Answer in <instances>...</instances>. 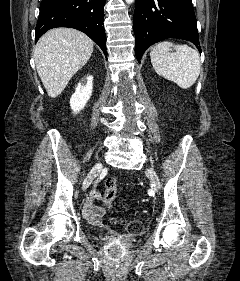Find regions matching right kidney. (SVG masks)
<instances>
[{
  "label": "right kidney",
  "mask_w": 240,
  "mask_h": 281,
  "mask_svg": "<svg viewBox=\"0 0 240 281\" xmlns=\"http://www.w3.org/2000/svg\"><path fill=\"white\" fill-rule=\"evenodd\" d=\"M93 89V77L88 76L86 81L78 83L75 93L70 99V107L74 113L80 112L91 97Z\"/></svg>",
  "instance_id": "ca27d5eb"
}]
</instances>
